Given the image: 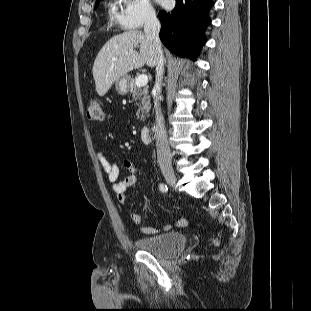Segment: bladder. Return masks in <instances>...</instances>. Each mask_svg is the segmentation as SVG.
<instances>
[{
  "mask_svg": "<svg viewBox=\"0 0 311 311\" xmlns=\"http://www.w3.org/2000/svg\"><path fill=\"white\" fill-rule=\"evenodd\" d=\"M135 245L140 251L155 253L167 258L185 248L187 237L180 232H167L154 236L139 237L135 240Z\"/></svg>",
  "mask_w": 311,
  "mask_h": 311,
  "instance_id": "31cf9c89",
  "label": "bladder"
}]
</instances>
